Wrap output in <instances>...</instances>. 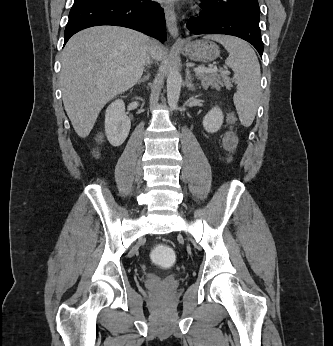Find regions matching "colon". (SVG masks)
<instances>
[{
	"instance_id": "colon-1",
	"label": "colon",
	"mask_w": 333,
	"mask_h": 346,
	"mask_svg": "<svg viewBox=\"0 0 333 346\" xmlns=\"http://www.w3.org/2000/svg\"><path fill=\"white\" fill-rule=\"evenodd\" d=\"M238 145V138L236 132L230 128L223 136V146L225 150L232 154ZM153 257L155 264L158 268H173L175 260V253L173 249H170L169 244H156L153 250Z\"/></svg>"
}]
</instances>
